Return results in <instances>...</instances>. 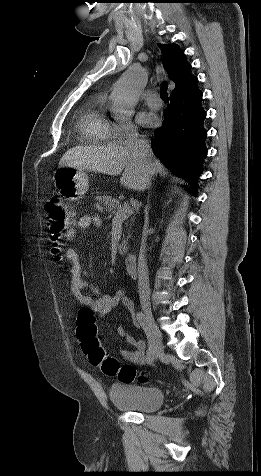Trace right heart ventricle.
Returning a JSON list of instances; mask_svg holds the SVG:
<instances>
[{"label":"right heart ventricle","instance_id":"1","mask_svg":"<svg viewBox=\"0 0 261 476\" xmlns=\"http://www.w3.org/2000/svg\"><path fill=\"white\" fill-rule=\"evenodd\" d=\"M103 97L91 100L81 117V130L90 143H103L112 138V124L106 116Z\"/></svg>","mask_w":261,"mask_h":476}]
</instances>
